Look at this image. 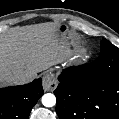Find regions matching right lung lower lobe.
<instances>
[{
	"label": "right lung lower lobe",
	"instance_id": "1",
	"mask_svg": "<svg viewBox=\"0 0 119 119\" xmlns=\"http://www.w3.org/2000/svg\"><path fill=\"white\" fill-rule=\"evenodd\" d=\"M43 94L41 78L23 86L0 89V119H28Z\"/></svg>",
	"mask_w": 119,
	"mask_h": 119
}]
</instances>
